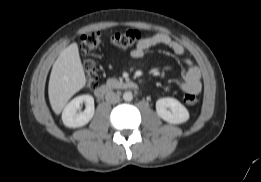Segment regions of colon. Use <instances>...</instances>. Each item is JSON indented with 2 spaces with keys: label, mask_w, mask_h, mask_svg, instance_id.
<instances>
[{
  "label": "colon",
  "mask_w": 261,
  "mask_h": 182,
  "mask_svg": "<svg viewBox=\"0 0 261 182\" xmlns=\"http://www.w3.org/2000/svg\"><path fill=\"white\" fill-rule=\"evenodd\" d=\"M141 39L140 32L136 30H128L125 32H116L110 35V42L121 49H128L136 46ZM102 42V33L100 31H92L81 36L80 53L82 56V64L86 74V85L94 88L98 84V74L95 64L88 58V54L97 49ZM184 102L187 105H195L198 98L193 93H186Z\"/></svg>",
  "instance_id": "1"
}]
</instances>
